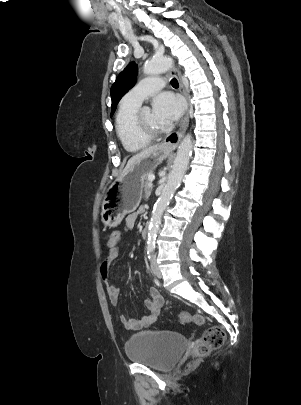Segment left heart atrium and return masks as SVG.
Segmentation results:
<instances>
[{"instance_id":"39dd6f15","label":"left heart atrium","mask_w":301,"mask_h":405,"mask_svg":"<svg viewBox=\"0 0 301 405\" xmlns=\"http://www.w3.org/2000/svg\"><path fill=\"white\" fill-rule=\"evenodd\" d=\"M183 110V101L171 92L161 93L153 100V114L163 126H169L177 121Z\"/></svg>"}]
</instances>
